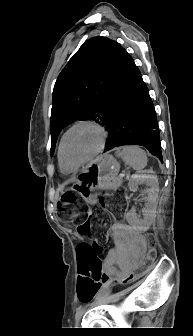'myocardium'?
I'll list each match as a JSON object with an SVG mask.
<instances>
[{
    "instance_id": "1",
    "label": "myocardium",
    "mask_w": 193,
    "mask_h": 336,
    "mask_svg": "<svg viewBox=\"0 0 193 336\" xmlns=\"http://www.w3.org/2000/svg\"><path fill=\"white\" fill-rule=\"evenodd\" d=\"M79 126H91L93 128H95L101 135V143L99 145V147L97 148V150L92 153L90 156L86 157L85 159L81 160V161H72L70 160L66 154H65V141H66V138L68 136V134L74 130L75 128L79 127ZM106 141H107V132L105 131V129L100 125L98 124L97 122L95 121H92V120H80V121H77L75 122L74 124H72L63 134L62 138H61V141H60V145H59V151H60V155L63 159V161L70 165V166H80L90 160H92L94 157H96L97 155H99L105 148V145H106Z\"/></svg>"
}]
</instances>
